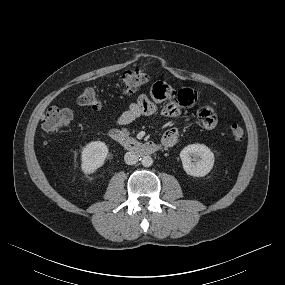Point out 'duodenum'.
Returning a JSON list of instances; mask_svg holds the SVG:
<instances>
[{"label":"duodenum","instance_id":"obj_1","mask_svg":"<svg viewBox=\"0 0 285 285\" xmlns=\"http://www.w3.org/2000/svg\"><path fill=\"white\" fill-rule=\"evenodd\" d=\"M108 135L113 141L120 144L126 150L142 156L155 154L162 149V145L156 142H136L119 129H110Z\"/></svg>","mask_w":285,"mask_h":285}]
</instances>
